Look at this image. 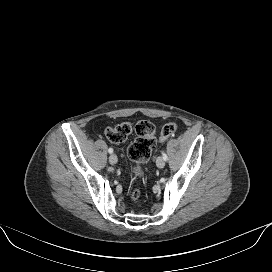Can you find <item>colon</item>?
<instances>
[{"label": "colon", "mask_w": 272, "mask_h": 272, "mask_svg": "<svg viewBox=\"0 0 272 272\" xmlns=\"http://www.w3.org/2000/svg\"><path fill=\"white\" fill-rule=\"evenodd\" d=\"M176 130L177 124L175 122L165 124L160 132V140H166ZM132 132H135L137 137L128 148V156L135 163L132 168L133 177L140 178L144 174L141 165L149 160L156 145L154 124L148 120H139L135 123L124 122L113 127H108L105 130V136L110 142L121 143ZM130 195L135 204L140 205L142 203L141 193L138 189L133 188Z\"/></svg>", "instance_id": "colon-1"}]
</instances>
